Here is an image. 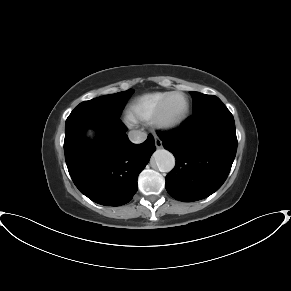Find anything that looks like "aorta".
Returning a JSON list of instances; mask_svg holds the SVG:
<instances>
[{
    "mask_svg": "<svg viewBox=\"0 0 291 291\" xmlns=\"http://www.w3.org/2000/svg\"><path fill=\"white\" fill-rule=\"evenodd\" d=\"M153 160L160 172H170L175 166L173 154L165 149H158L153 154Z\"/></svg>",
    "mask_w": 291,
    "mask_h": 291,
    "instance_id": "obj_1",
    "label": "aorta"
}]
</instances>
